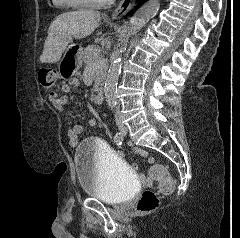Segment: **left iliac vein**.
<instances>
[{
    "label": "left iliac vein",
    "mask_w": 240,
    "mask_h": 238,
    "mask_svg": "<svg viewBox=\"0 0 240 238\" xmlns=\"http://www.w3.org/2000/svg\"><path fill=\"white\" fill-rule=\"evenodd\" d=\"M121 131L125 135L127 133V128L125 126H122Z\"/></svg>",
    "instance_id": "obj_1"
}]
</instances>
